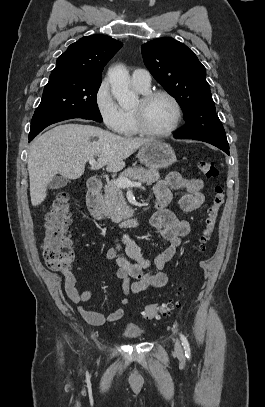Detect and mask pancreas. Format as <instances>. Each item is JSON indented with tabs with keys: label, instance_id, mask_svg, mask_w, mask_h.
<instances>
[{
	"label": "pancreas",
	"instance_id": "obj_1",
	"mask_svg": "<svg viewBox=\"0 0 265 407\" xmlns=\"http://www.w3.org/2000/svg\"><path fill=\"white\" fill-rule=\"evenodd\" d=\"M118 179L139 180L151 185L160 179V174L155 169L130 167L120 173ZM115 181L112 180L105 185L104 195L101 198V208L104 215L119 222L126 217L129 207L121 188L115 185Z\"/></svg>",
	"mask_w": 265,
	"mask_h": 407
}]
</instances>
